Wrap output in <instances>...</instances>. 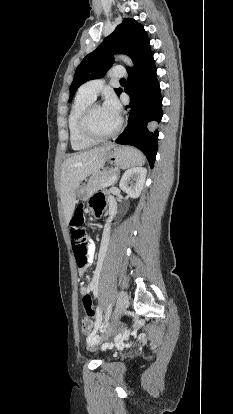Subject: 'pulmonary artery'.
I'll use <instances>...</instances> for the list:
<instances>
[{"label":"pulmonary artery","instance_id":"1","mask_svg":"<svg viewBox=\"0 0 233 414\" xmlns=\"http://www.w3.org/2000/svg\"><path fill=\"white\" fill-rule=\"evenodd\" d=\"M126 72L122 67H114L109 71L108 76L113 79L123 78ZM105 80L104 79H94L84 83L81 87V91L86 95L92 97L93 99L96 98L99 91L104 86Z\"/></svg>","mask_w":233,"mask_h":414}]
</instances>
